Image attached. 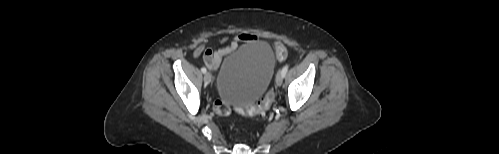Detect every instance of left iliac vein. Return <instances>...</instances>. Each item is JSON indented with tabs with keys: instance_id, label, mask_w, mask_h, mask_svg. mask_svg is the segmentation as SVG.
I'll return each instance as SVG.
<instances>
[{
	"instance_id": "left-iliac-vein-1",
	"label": "left iliac vein",
	"mask_w": 499,
	"mask_h": 154,
	"mask_svg": "<svg viewBox=\"0 0 499 154\" xmlns=\"http://www.w3.org/2000/svg\"><path fill=\"white\" fill-rule=\"evenodd\" d=\"M276 85L277 86H281L282 85V82H283V75H282V72L279 71L276 75Z\"/></svg>"
}]
</instances>
